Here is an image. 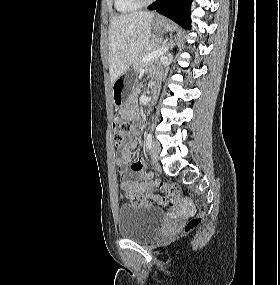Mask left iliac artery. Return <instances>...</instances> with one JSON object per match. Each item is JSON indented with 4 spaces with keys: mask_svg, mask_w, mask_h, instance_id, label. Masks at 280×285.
Segmentation results:
<instances>
[{
    "mask_svg": "<svg viewBox=\"0 0 280 285\" xmlns=\"http://www.w3.org/2000/svg\"><path fill=\"white\" fill-rule=\"evenodd\" d=\"M152 145V134L149 132L146 136V148L149 150Z\"/></svg>",
    "mask_w": 280,
    "mask_h": 285,
    "instance_id": "left-iliac-artery-1",
    "label": "left iliac artery"
}]
</instances>
